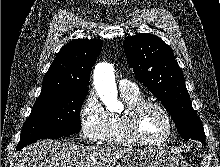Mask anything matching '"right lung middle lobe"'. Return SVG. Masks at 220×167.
<instances>
[{"label": "right lung middle lobe", "mask_w": 220, "mask_h": 167, "mask_svg": "<svg viewBox=\"0 0 220 167\" xmlns=\"http://www.w3.org/2000/svg\"><path fill=\"white\" fill-rule=\"evenodd\" d=\"M86 89L65 90L37 99L25 121L17 150L44 138H60L80 132V110Z\"/></svg>", "instance_id": "right-lung-middle-lobe-1"}]
</instances>
